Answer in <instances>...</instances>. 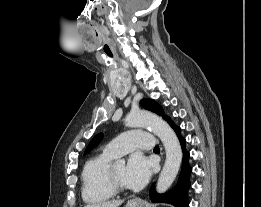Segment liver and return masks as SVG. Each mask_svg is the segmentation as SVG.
<instances>
[{"label": "liver", "instance_id": "1", "mask_svg": "<svg viewBox=\"0 0 261 207\" xmlns=\"http://www.w3.org/2000/svg\"><path fill=\"white\" fill-rule=\"evenodd\" d=\"M122 203L123 200H111L97 204H87L84 207H119Z\"/></svg>", "mask_w": 261, "mask_h": 207}]
</instances>
